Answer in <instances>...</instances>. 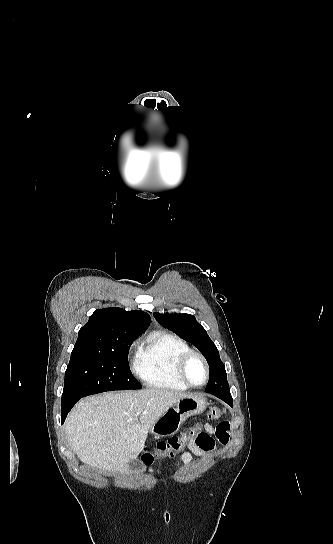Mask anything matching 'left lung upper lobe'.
Here are the masks:
<instances>
[{
  "mask_svg": "<svg viewBox=\"0 0 333 544\" xmlns=\"http://www.w3.org/2000/svg\"><path fill=\"white\" fill-rule=\"evenodd\" d=\"M156 320L165 328L173 331L182 339L193 344L206 358L210 367V378L205 391L229 392L225 366L220 359L219 351L208 336L206 330L190 314L154 313Z\"/></svg>",
  "mask_w": 333,
  "mask_h": 544,
  "instance_id": "5c2ea615",
  "label": "left lung upper lobe"
}]
</instances>
